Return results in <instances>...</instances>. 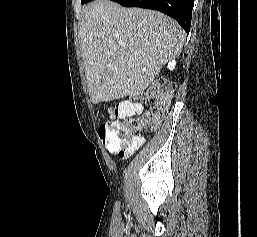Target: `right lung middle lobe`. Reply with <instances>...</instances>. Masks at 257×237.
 Returning a JSON list of instances; mask_svg holds the SVG:
<instances>
[{
    "label": "right lung middle lobe",
    "instance_id": "1",
    "mask_svg": "<svg viewBox=\"0 0 257 237\" xmlns=\"http://www.w3.org/2000/svg\"><path fill=\"white\" fill-rule=\"evenodd\" d=\"M90 1H92V0H81V3L85 4V3L90 2Z\"/></svg>",
    "mask_w": 257,
    "mask_h": 237
}]
</instances>
